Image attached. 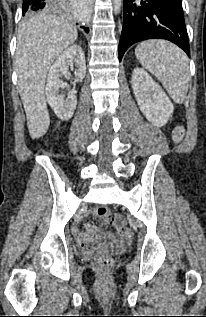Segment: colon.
<instances>
[{"label": "colon", "instance_id": "colon-1", "mask_svg": "<svg viewBox=\"0 0 206 317\" xmlns=\"http://www.w3.org/2000/svg\"><path fill=\"white\" fill-rule=\"evenodd\" d=\"M183 135V130L178 128L174 132V138L176 141H180ZM95 214L99 218L109 221L117 226L122 227L124 225V221L119 216L110 215L109 210L106 207L100 206L95 209ZM95 267L100 271H108L113 267V259L111 256L105 253H97L93 259Z\"/></svg>", "mask_w": 206, "mask_h": 317}]
</instances>
